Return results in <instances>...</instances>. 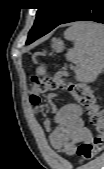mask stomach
Here are the masks:
<instances>
[{
  "label": "stomach",
  "instance_id": "obj_1",
  "mask_svg": "<svg viewBox=\"0 0 104 169\" xmlns=\"http://www.w3.org/2000/svg\"><path fill=\"white\" fill-rule=\"evenodd\" d=\"M51 47L53 48L54 51L56 52H61L64 49V43L61 39H52V44Z\"/></svg>",
  "mask_w": 104,
  "mask_h": 169
}]
</instances>
